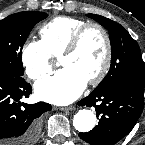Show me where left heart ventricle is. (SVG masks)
I'll list each match as a JSON object with an SVG mask.
<instances>
[{"label": "left heart ventricle", "mask_w": 145, "mask_h": 145, "mask_svg": "<svg viewBox=\"0 0 145 145\" xmlns=\"http://www.w3.org/2000/svg\"><path fill=\"white\" fill-rule=\"evenodd\" d=\"M104 57V39L99 31L91 29L83 36L76 51L63 57L60 64L74 68L89 81L98 74Z\"/></svg>", "instance_id": "left-heart-ventricle-1"}]
</instances>
